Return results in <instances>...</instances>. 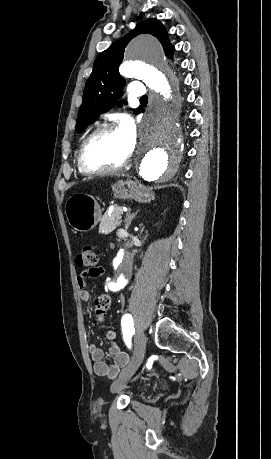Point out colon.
Segmentation results:
<instances>
[{
    "mask_svg": "<svg viewBox=\"0 0 271 459\" xmlns=\"http://www.w3.org/2000/svg\"><path fill=\"white\" fill-rule=\"evenodd\" d=\"M76 264L79 267L96 268L98 257L91 245H85L76 257ZM111 304V297L109 294H101L95 299L94 303V317L97 322L103 321Z\"/></svg>",
    "mask_w": 271,
    "mask_h": 459,
    "instance_id": "5ec220e1",
    "label": "colon"
}]
</instances>
